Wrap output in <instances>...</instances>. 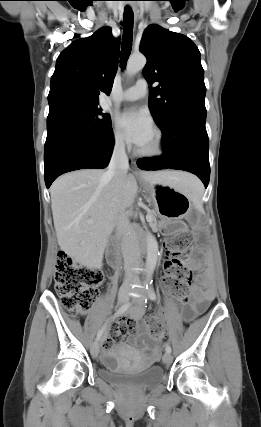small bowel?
Masks as SVG:
<instances>
[{
	"label": "small bowel",
	"mask_w": 261,
	"mask_h": 427,
	"mask_svg": "<svg viewBox=\"0 0 261 427\" xmlns=\"http://www.w3.org/2000/svg\"><path fill=\"white\" fill-rule=\"evenodd\" d=\"M167 262H164V269L167 274ZM187 264L199 268L194 258H189ZM166 276V275H165ZM200 284L203 289L195 287L193 290L194 301L193 303L184 310L183 316L185 320H191L196 314L202 312L208 302L214 298L215 288L212 279L209 275L204 274L200 277ZM144 314L143 307H135L131 310L130 316L120 318L112 329V335L107 337L103 342L105 349L111 348L117 341L118 337H122L128 333V331H137V334L129 335L127 338L128 343L135 348L133 355L136 359H141V352L147 353V362L155 363L158 361L160 356V350L158 342L162 339V336L158 338L148 337L144 331V324L142 322V316Z\"/></svg>",
	"instance_id": "obj_1"
}]
</instances>
